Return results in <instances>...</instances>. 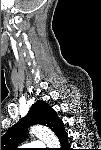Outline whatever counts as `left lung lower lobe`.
<instances>
[{
	"label": "left lung lower lobe",
	"instance_id": "left-lung-lower-lobe-1",
	"mask_svg": "<svg viewBox=\"0 0 101 150\" xmlns=\"http://www.w3.org/2000/svg\"><path fill=\"white\" fill-rule=\"evenodd\" d=\"M59 140L61 143V147H68V143H67V133L64 131H62V133L59 135Z\"/></svg>",
	"mask_w": 101,
	"mask_h": 150
}]
</instances>
